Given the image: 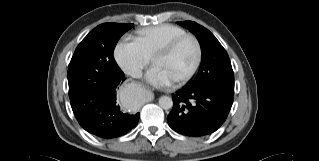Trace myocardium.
Instances as JSON below:
<instances>
[{
    "label": "myocardium",
    "instance_id": "myocardium-1",
    "mask_svg": "<svg viewBox=\"0 0 319 161\" xmlns=\"http://www.w3.org/2000/svg\"><path fill=\"white\" fill-rule=\"evenodd\" d=\"M191 40L194 43L195 50H196V56L193 65L191 68L182 76L174 80V83L176 84H182L190 80L199 70L201 62H202V46L198 40V38L193 34H183L181 36H178L169 42H167L165 45H163L154 55L152 58V62L154 63L156 59L158 58H164L169 56L183 41L185 40Z\"/></svg>",
    "mask_w": 319,
    "mask_h": 161
}]
</instances>
